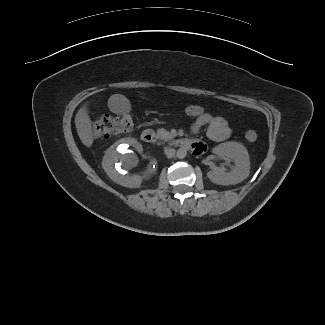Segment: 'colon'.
<instances>
[{"instance_id":"1","label":"colon","mask_w":325,"mask_h":325,"mask_svg":"<svg viewBox=\"0 0 325 325\" xmlns=\"http://www.w3.org/2000/svg\"><path fill=\"white\" fill-rule=\"evenodd\" d=\"M183 113L197 119L208 114L207 109L201 105L189 104L183 107ZM133 131V121L129 114H124L118 118L104 115L95 119L93 123V134L96 138H109L119 134H128ZM245 137L249 141L257 139V133L254 130H247Z\"/></svg>"}]
</instances>
